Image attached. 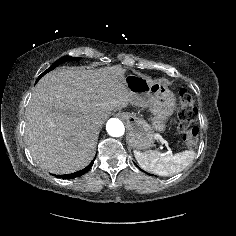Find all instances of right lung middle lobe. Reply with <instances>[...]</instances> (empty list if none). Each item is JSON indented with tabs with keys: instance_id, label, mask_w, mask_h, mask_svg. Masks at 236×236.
<instances>
[{
	"instance_id": "obj_1",
	"label": "right lung middle lobe",
	"mask_w": 236,
	"mask_h": 236,
	"mask_svg": "<svg viewBox=\"0 0 236 236\" xmlns=\"http://www.w3.org/2000/svg\"><path fill=\"white\" fill-rule=\"evenodd\" d=\"M80 60V58L78 57H70V56H64L62 58H60L59 60H57L52 66H50L46 71H44L37 79V81L43 77L47 72L55 69L58 65H60L61 63L65 62V61H77ZM36 81V82H37Z\"/></svg>"
}]
</instances>
